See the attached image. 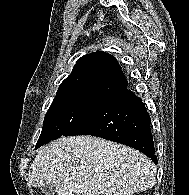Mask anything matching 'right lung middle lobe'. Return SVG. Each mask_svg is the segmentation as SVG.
<instances>
[{"label":"right lung middle lobe","mask_w":189,"mask_h":195,"mask_svg":"<svg viewBox=\"0 0 189 195\" xmlns=\"http://www.w3.org/2000/svg\"><path fill=\"white\" fill-rule=\"evenodd\" d=\"M108 95L105 92L90 90L57 93L46 113L42 132L35 148L76 128Z\"/></svg>","instance_id":"1"}]
</instances>
